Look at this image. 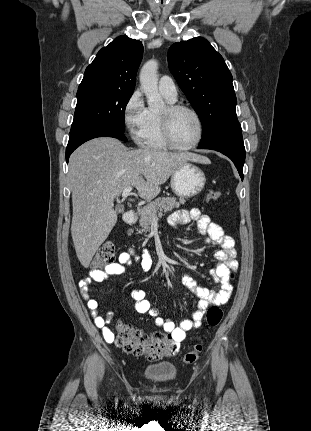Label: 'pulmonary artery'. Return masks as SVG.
<instances>
[{"label":"pulmonary artery","mask_w":311,"mask_h":431,"mask_svg":"<svg viewBox=\"0 0 311 431\" xmlns=\"http://www.w3.org/2000/svg\"><path fill=\"white\" fill-rule=\"evenodd\" d=\"M158 88L160 92L172 99L177 97V88L173 79L167 75L162 76L158 81Z\"/></svg>","instance_id":"e3ab8cb5"}]
</instances>
